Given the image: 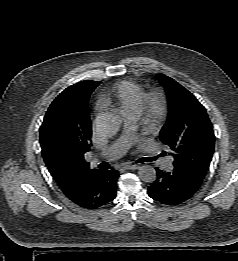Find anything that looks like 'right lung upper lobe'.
Segmentation results:
<instances>
[{"label": "right lung upper lobe", "mask_w": 238, "mask_h": 261, "mask_svg": "<svg viewBox=\"0 0 238 261\" xmlns=\"http://www.w3.org/2000/svg\"><path fill=\"white\" fill-rule=\"evenodd\" d=\"M100 81H81L69 86L65 91L73 99L72 112L68 118L43 121L40 128L42 155L45 152L44 140L47 138L56 148L52 158L44 157L46 166L62 192L72 199L79 195L98 170H91L84 160L89 151L92 135L88 111V100Z\"/></svg>", "instance_id": "obj_1"}]
</instances>
